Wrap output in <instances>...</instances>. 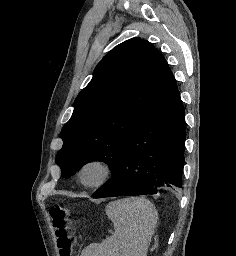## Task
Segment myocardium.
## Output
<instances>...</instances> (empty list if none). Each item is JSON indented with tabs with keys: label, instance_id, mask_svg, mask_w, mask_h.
<instances>
[{
	"label": "myocardium",
	"instance_id": "obj_1",
	"mask_svg": "<svg viewBox=\"0 0 236 256\" xmlns=\"http://www.w3.org/2000/svg\"><path fill=\"white\" fill-rule=\"evenodd\" d=\"M91 165H95L98 166L101 169V174L100 176L93 182L91 183H87L83 180V171L86 167L91 166ZM114 174V167L112 165V163L104 158V157H99V156H95V157H90L86 160H84L79 168H78V172H77V176L79 179V182L87 188H96L99 186L104 185L105 183H107L111 177Z\"/></svg>",
	"mask_w": 236,
	"mask_h": 256
}]
</instances>
